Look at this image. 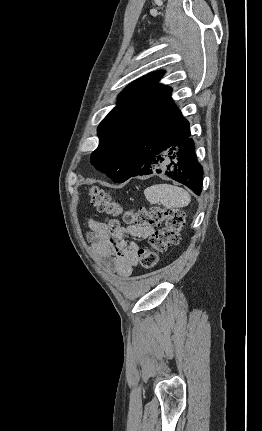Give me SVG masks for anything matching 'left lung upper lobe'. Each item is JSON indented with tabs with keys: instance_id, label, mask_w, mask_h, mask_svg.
I'll return each instance as SVG.
<instances>
[{
	"instance_id": "obj_1",
	"label": "left lung upper lobe",
	"mask_w": 262,
	"mask_h": 431,
	"mask_svg": "<svg viewBox=\"0 0 262 431\" xmlns=\"http://www.w3.org/2000/svg\"><path fill=\"white\" fill-rule=\"evenodd\" d=\"M163 74L150 73L128 85L118 97L120 103L98 126L100 141L91 164L116 183L129 178L141 151H151L167 135L189 124L172 102V89L157 84Z\"/></svg>"
}]
</instances>
